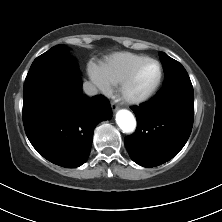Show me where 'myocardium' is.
I'll use <instances>...</instances> for the list:
<instances>
[{"mask_svg": "<svg viewBox=\"0 0 222 222\" xmlns=\"http://www.w3.org/2000/svg\"><path fill=\"white\" fill-rule=\"evenodd\" d=\"M154 63L158 67V76L153 84V86L142 96L140 97H130L127 95V90L129 86L132 84L134 81L135 77L137 76L138 72L140 69L147 63ZM162 77H163V70L161 64L152 58H146L143 61L139 62L137 65H135L131 71L127 74V76L119 83L118 86V95L121 98L122 101L129 105H140L152 98V96L155 94L157 89L159 88L161 82H162Z\"/></svg>", "mask_w": 222, "mask_h": 222, "instance_id": "f54148a6", "label": "myocardium"}]
</instances>
